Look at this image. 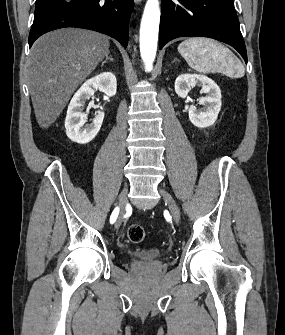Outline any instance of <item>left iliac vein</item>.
I'll return each mask as SVG.
<instances>
[{
    "label": "left iliac vein",
    "instance_id": "obj_1",
    "mask_svg": "<svg viewBox=\"0 0 285 335\" xmlns=\"http://www.w3.org/2000/svg\"><path fill=\"white\" fill-rule=\"evenodd\" d=\"M159 192L162 195L165 202H167L168 208L171 212V215L175 221H178L180 219V211L172 197L169 195V193L163 189L159 188Z\"/></svg>",
    "mask_w": 285,
    "mask_h": 335
}]
</instances>
